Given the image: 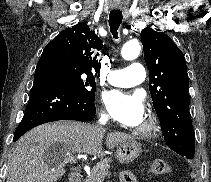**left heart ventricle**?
Instances as JSON below:
<instances>
[{"instance_id":"b2bd125f","label":"left heart ventricle","mask_w":211,"mask_h":182,"mask_svg":"<svg viewBox=\"0 0 211 182\" xmlns=\"http://www.w3.org/2000/svg\"><path fill=\"white\" fill-rule=\"evenodd\" d=\"M147 123V117L143 119V121L137 127H143Z\"/></svg>"}]
</instances>
